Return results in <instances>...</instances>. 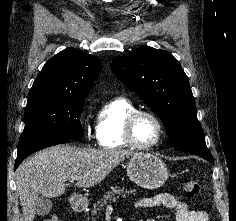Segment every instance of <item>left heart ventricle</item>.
<instances>
[{
	"instance_id": "b2bd125f",
	"label": "left heart ventricle",
	"mask_w": 236,
	"mask_h": 221,
	"mask_svg": "<svg viewBox=\"0 0 236 221\" xmlns=\"http://www.w3.org/2000/svg\"><path fill=\"white\" fill-rule=\"evenodd\" d=\"M158 127L149 116H140L134 125V137L141 145H148L158 137Z\"/></svg>"
}]
</instances>
